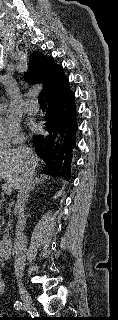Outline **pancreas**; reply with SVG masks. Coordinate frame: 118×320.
Returning <instances> with one entry per match:
<instances>
[{
	"mask_svg": "<svg viewBox=\"0 0 118 320\" xmlns=\"http://www.w3.org/2000/svg\"><path fill=\"white\" fill-rule=\"evenodd\" d=\"M9 226H10V224L8 223V225L6 226V228H5V230H4L5 235H7L8 232H9V229H8ZM0 230H1V226H0Z\"/></svg>",
	"mask_w": 118,
	"mask_h": 320,
	"instance_id": "1",
	"label": "pancreas"
}]
</instances>
